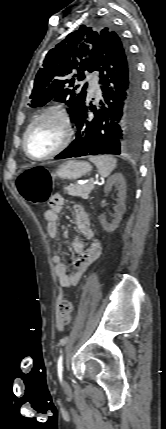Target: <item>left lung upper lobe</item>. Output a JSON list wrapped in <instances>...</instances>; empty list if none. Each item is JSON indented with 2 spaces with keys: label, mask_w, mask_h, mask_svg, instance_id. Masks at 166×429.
<instances>
[{
  "label": "left lung upper lobe",
  "mask_w": 166,
  "mask_h": 429,
  "mask_svg": "<svg viewBox=\"0 0 166 429\" xmlns=\"http://www.w3.org/2000/svg\"><path fill=\"white\" fill-rule=\"evenodd\" d=\"M114 36L118 34L110 28H92L86 25H81L77 31L70 33L47 53L35 78L30 106H43L52 99L64 102L70 107L68 113L71 122H74L87 98V84L73 87L74 82L85 79L84 70L93 72L99 47Z\"/></svg>",
  "instance_id": "1"
}]
</instances>
